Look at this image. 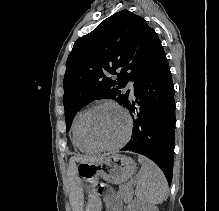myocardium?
Here are the masks:
<instances>
[{
    "label": "myocardium",
    "mask_w": 219,
    "mask_h": 211,
    "mask_svg": "<svg viewBox=\"0 0 219 211\" xmlns=\"http://www.w3.org/2000/svg\"><path fill=\"white\" fill-rule=\"evenodd\" d=\"M101 106H112V107L118 109L126 118V121H127L126 131H125L123 137L118 142H116L114 144L97 143L89 135V132H88L89 117L95 109H97L98 107H101ZM131 129H132V117H131L130 113L124 107H122L121 105H119L113 101H101V102H97V103L93 104L91 107H89L85 111V113L82 117V121H81V132H82V136H83L84 140L90 146H92L96 149H100V150H111V149H117V148L121 147L130 138Z\"/></svg>",
    "instance_id": "1"
}]
</instances>
